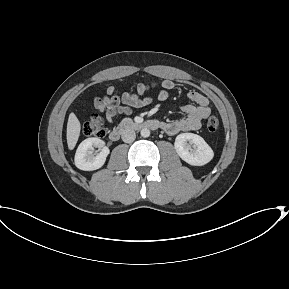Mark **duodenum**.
I'll use <instances>...</instances> for the list:
<instances>
[{"mask_svg":"<svg viewBox=\"0 0 289 289\" xmlns=\"http://www.w3.org/2000/svg\"><path fill=\"white\" fill-rule=\"evenodd\" d=\"M160 127L161 124L157 120H147V121L125 120L110 132L109 137L111 140L117 141L123 134L131 130H141V129L156 130Z\"/></svg>","mask_w":289,"mask_h":289,"instance_id":"1","label":"duodenum"}]
</instances>
